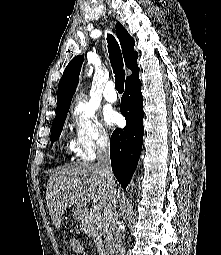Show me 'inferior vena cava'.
<instances>
[{
	"label": "inferior vena cava",
	"mask_w": 221,
	"mask_h": 255,
	"mask_svg": "<svg viewBox=\"0 0 221 255\" xmlns=\"http://www.w3.org/2000/svg\"><path fill=\"white\" fill-rule=\"evenodd\" d=\"M98 167L105 177L112 182L114 175L111 169L109 140L107 137H100L97 147ZM117 191L112 188V197L104 210V238L107 255H124L122 245V234L118 227Z\"/></svg>",
	"instance_id": "obj_1"
}]
</instances>
